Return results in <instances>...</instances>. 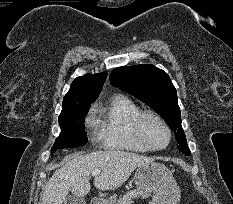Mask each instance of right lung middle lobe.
I'll return each instance as SVG.
<instances>
[{
  "label": "right lung middle lobe",
  "instance_id": "obj_1",
  "mask_svg": "<svg viewBox=\"0 0 233 204\" xmlns=\"http://www.w3.org/2000/svg\"><path fill=\"white\" fill-rule=\"evenodd\" d=\"M89 108L90 105L62 109L59 116L61 133L56 138L51 153L57 149L75 148L87 143L88 138L86 136L84 121Z\"/></svg>",
  "mask_w": 233,
  "mask_h": 204
}]
</instances>
